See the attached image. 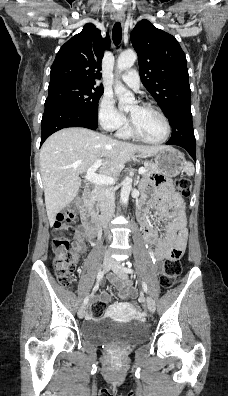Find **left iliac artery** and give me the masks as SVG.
Returning a JSON list of instances; mask_svg holds the SVG:
<instances>
[{
	"label": "left iliac artery",
	"instance_id": "44dca946",
	"mask_svg": "<svg viewBox=\"0 0 228 396\" xmlns=\"http://www.w3.org/2000/svg\"><path fill=\"white\" fill-rule=\"evenodd\" d=\"M124 270H125L126 273H129V274H133V273H134V270L131 269V266H130V265H128L127 267H125ZM142 287H143L144 292L147 293L148 288H147V284H146L145 282H142Z\"/></svg>",
	"mask_w": 228,
	"mask_h": 396
}]
</instances>
